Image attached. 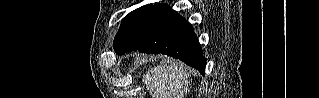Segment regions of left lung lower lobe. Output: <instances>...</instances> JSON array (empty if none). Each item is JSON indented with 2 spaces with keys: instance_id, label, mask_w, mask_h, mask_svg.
I'll use <instances>...</instances> for the list:
<instances>
[{
  "instance_id": "0a47b994",
  "label": "left lung lower lobe",
  "mask_w": 319,
  "mask_h": 98,
  "mask_svg": "<svg viewBox=\"0 0 319 98\" xmlns=\"http://www.w3.org/2000/svg\"><path fill=\"white\" fill-rule=\"evenodd\" d=\"M139 50L164 53L205 73L206 61L191 25L167 4H155L117 54Z\"/></svg>"
}]
</instances>
